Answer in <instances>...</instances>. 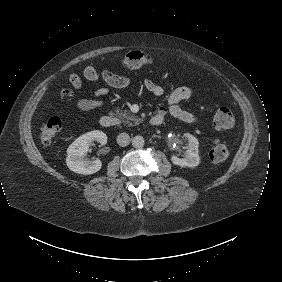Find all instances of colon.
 I'll list each match as a JSON object with an SVG mask.
<instances>
[{
	"label": "colon",
	"instance_id": "5ec220e1",
	"mask_svg": "<svg viewBox=\"0 0 282 282\" xmlns=\"http://www.w3.org/2000/svg\"><path fill=\"white\" fill-rule=\"evenodd\" d=\"M121 64L129 69L137 70L152 62V55L141 50H133L125 54L121 59ZM64 96L68 97L70 92L64 91ZM235 118L232 111L228 108H219L214 115L213 125L215 130L223 132L234 126ZM61 119L59 117H51L41 126L39 132L40 141L43 144H51L57 137L61 129ZM230 151L223 142L216 141L212 144L210 157L214 163L223 162L228 159Z\"/></svg>",
	"mask_w": 282,
	"mask_h": 282
}]
</instances>
